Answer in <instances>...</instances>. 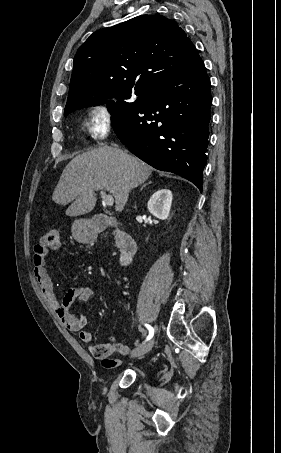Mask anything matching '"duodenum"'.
<instances>
[{
    "label": "duodenum",
    "mask_w": 281,
    "mask_h": 453,
    "mask_svg": "<svg viewBox=\"0 0 281 453\" xmlns=\"http://www.w3.org/2000/svg\"><path fill=\"white\" fill-rule=\"evenodd\" d=\"M109 227L114 228L115 239L120 251L122 264L129 263L137 251V243L134 238L127 232L119 229L116 221L111 218L98 217L93 220V229L96 233Z\"/></svg>",
    "instance_id": "1"
}]
</instances>
